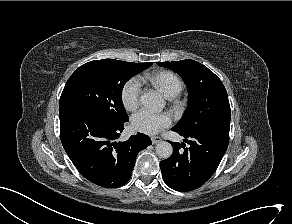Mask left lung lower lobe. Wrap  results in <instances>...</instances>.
I'll use <instances>...</instances> for the list:
<instances>
[{
	"instance_id": "1",
	"label": "left lung lower lobe",
	"mask_w": 292,
	"mask_h": 224,
	"mask_svg": "<svg viewBox=\"0 0 292 224\" xmlns=\"http://www.w3.org/2000/svg\"><path fill=\"white\" fill-rule=\"evenodd\" d=\"M179 134L189 146L171 142L174 152L170 158L160 162V168L163 180L170 188L191 191L200 187L215 172L227 150L229 136Z\"/></svg>"
}]
</instances>
